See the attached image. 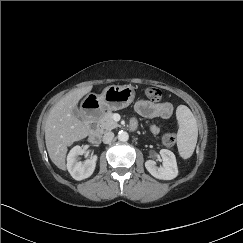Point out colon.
I'll list each match as a JSON object with an SVG mask.
<instances>
[{
  "instance_id": "5ec220e1",
  "label": "colon",
  "mask_w": 243,
  "mask_h": 243,
  "mask_svg": "<svg viewBox=\"0 0 243 243\" xmlns=\"http://www.w3.org/2000/svg\"><path fill=\"white\" fill-rule=\"evenodd\" d=\"M145 94L149 100L152 102H158L162 98V92L156 87H148L145 90ZM176 143V137L174 134H166L162 137V144L164 146L170 147Z\"/></svg>"
}]
</instances>
